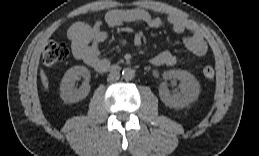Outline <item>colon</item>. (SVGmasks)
<instances>
[{
    "mask_svg": "<svg viewBox=\"0 0 259 156\" xmlns=\"http://www.w3.org/2000/svg\"><path fill=\"white\" fill-rule=\"evenodd\" d=\"M69 50L66 44L59 43L55 41H50L46 44L43 55L42 62L43 65L48 68H54L58 64L62 63L68 56ZM215 75L214 69L211 66H205L202 69V76L205 79H212Z\"/></svg>",
    "mask_w": 259,
    "mask_h": 156,
    "instance_id": "1",
    "label": "colon"
}]
</instances>
